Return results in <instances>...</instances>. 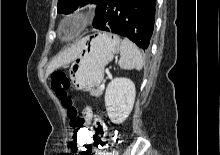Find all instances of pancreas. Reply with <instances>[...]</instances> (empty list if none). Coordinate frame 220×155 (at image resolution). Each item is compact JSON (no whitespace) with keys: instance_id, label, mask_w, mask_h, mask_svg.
I'll return each mask as SVG.
<instances>
[{"instance_id":"obj_1","label":"pancreas","mask_w":220,"mask_h":155,"mask_svg":"<svg viewBox=\"0 0 220 155\" xmlns=\"http://www.w3.org/2000/svg\"><path fill=\"white\" fill-rule=\"evenodd\" d=\"M103 93V90H101L100 88L96 89L95 91L92 92V95L96 96V97H100Z\"/></svg>"}]
</instances>
